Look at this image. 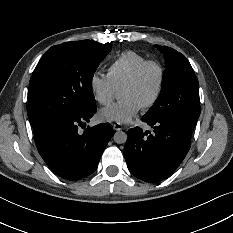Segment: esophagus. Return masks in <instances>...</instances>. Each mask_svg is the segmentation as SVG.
I'll return each mask as SVG.
<instances>
[{"mask_svg": "<svg viewBox=\"0 0 233 233\" xmlns=\"http://www.w3.org/2000/svg\"><path fill=\"white\" fill-rule=\"evenodd\" d=\"M113 129L116 131L122 130L123 129V125L120 123H114L113 124Z\"/></svg>", "mask_w": 233, "mask_h": 233, "instance_id": "34e87169", "label": "esophagus"}]
</instances>
